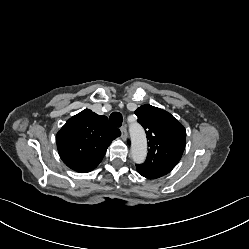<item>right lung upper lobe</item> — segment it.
Here are the masks:
<instances>
[{"instance_id":"obj_1","label":"right lung upper lobe","mask_w":249,"mask_h":249,"mask_svg":"<svg viewBox=\"0 0 249 249\" xmlns=\"http://www.w3.org/2000/svg\"><path fill=\"white\" fill-rule=\"evenodd\" d=\"M120 135V130L106 116L85 109L70 118L57 133V149L69 168L85 173L98 166L110 143Z\"/></svg>"}]
</instances>
